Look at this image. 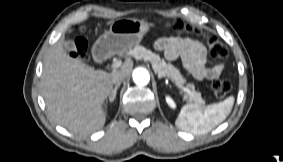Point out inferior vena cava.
<instances>
[{"label": "inferior vena cava", "instance_id": "inferior-vena-cava-1", "mask_svg": "<svg viewBox=\"0 0 283 162\" xmlns=\"http://www.w3.org/2000/svg\"><path fill=\"white\" fill-rule=\"evenodd\" d=\"M124 79L125 75L123 73H115L112 77V83L114 85H120Z\"/></svg>", "mask_w": 283, "mask_h": 162}]
</instances>
